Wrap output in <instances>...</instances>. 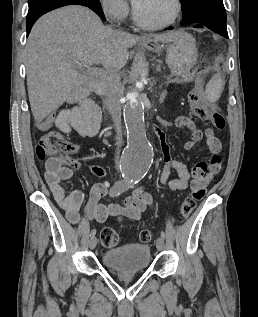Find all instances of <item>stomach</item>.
Returning <instances> with one entry per match:
<instances>
[{"instance_id": "0dacf381", "label": "stomach", "mask_w": 258, "mask_h": 317, "mask_svg": "<svg viewBox=\"0 0 258 317\" xmlns=\"http://www.w3.org/2000/svg\"><path fill=\"white\" fill-rule=\"evenodd\" d=\"M142 46L154 52H166V62L171 70L177 76L187 78L191 68L198 60V50L194 36L190 32L180 30V38L169 42V44H159L157 40H143Z\"/></svg>"}]
</instances>
